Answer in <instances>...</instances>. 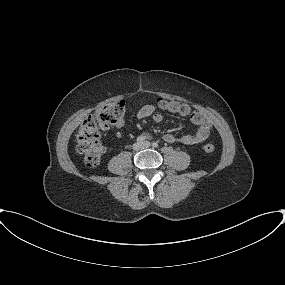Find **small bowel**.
Returning a JSON list of instances; mask_svg holds the SVG:
<instances>
[{
	"instance_id": "1",
	"label": "small bowel",
	"mask_w": 285,
	"mask_h": 285,
	"mask_svg": "<svg viewBox=\"0 0 285 285\" xmlns=\"http://www.w3.org/2000/svg\"><path fill=\"white\" fill-rule=\"evenodd\" d=\"M137 118L139 120L151 118L155 123H160L163 120V115L157 111L156 107L153 105H145L137 112ZM124 118H121L118 122L115 123L117 129L116 135L119 138L124 137V133L121 131V128L124 126ZM198 125L197 131L194 134H184L179 137L174 136L173 134L166 133L163 135V140L168 143L179 142L184 145H198L203 143L209 136L210 133V124L205 119L201 123H195ZM108 127H103L107 129ZM147 138H150V135H145Z\"/></svg>"
}]
</instances>
